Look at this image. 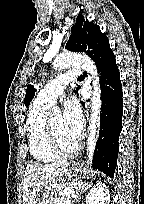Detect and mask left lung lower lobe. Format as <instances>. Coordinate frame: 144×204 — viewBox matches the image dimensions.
Wrapping results in <instances>:
<instances>
[{
	"mask_svg": "<svg viewBox=\"0 0 144 204\" xmlns=\"http://www.w3.org/2000/svg\"><path fill=\"white\" fill-rule=\"evenodd\" d=\"M98 67L102 88L99 138L93 157V167L113 177L118 157V140L122 130V86L115 58ZM84 105V103L82 102Z\"/></svg>",
	"mask_w": 144,
	"mask_h": 204,
	"instance_id": "1",
	"label": "left lung lower lobe"
}]
</instances>
